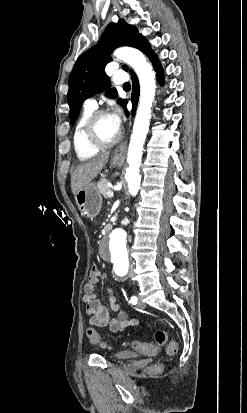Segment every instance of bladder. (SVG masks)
I'll return each mask as SVG.
<instances>
[{
  "instance_id": "1",
  "label": "bladder",
  "mask_w": 247,
  "mask_h": 413,
  "mask_svg": "<svg viewBox=\"0 0 247 413\" xmlns=\"http://www.w3.org/2000/svg\"><path fill=\"white\" fill-rule=\"evenodd\" d=\"M135 355H136V352L120 351V352H115V354H113V358L125 359V358H132Z\"/></svg>"
}]
</instances>
